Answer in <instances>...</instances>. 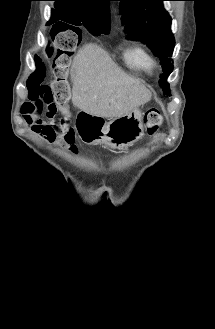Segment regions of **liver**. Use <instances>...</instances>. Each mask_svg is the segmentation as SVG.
I'll use <instances>...</instances> for the list:
<instances>
[{"label": "liver", "instance_id": "liver-1", "mask_svg": "<svg viewBox=\"0 0 215 329\" xmlns=\"http://www.w3.org/2000/svg\"><path fill=\"white\" fill-rule=\"evenodd\" d=\"M71 76L73 105L92 116H122L151 99V92L141 81L127 75L93 44L77 52Z\"/></svg>", "mask_w": 215, "mask_h": 329}]
</instances>
